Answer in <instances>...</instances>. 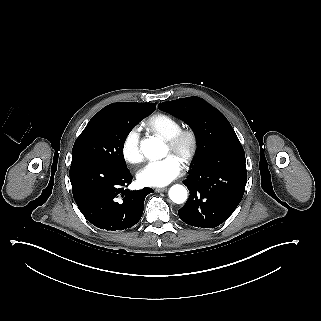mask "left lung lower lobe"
<instances>
[{
    "label": "left lung lower lobe",
    "instance_id": "obj_1",
    "mask_svg": "<svg viewBox=\"0 0 321 321\" xmlns=\"http://www.w3.org/2000/svg\"><path fill=\"white\" fill-rule=\"evenodd\" d=\"M247 182L245 153L242 145L214 152L190 171L183 183L190 196L178 213L188 225L214 228L234 212Z\"/></svg>",
    "mask_w": 321,
    "mask_h": 321
}]
</instances>
